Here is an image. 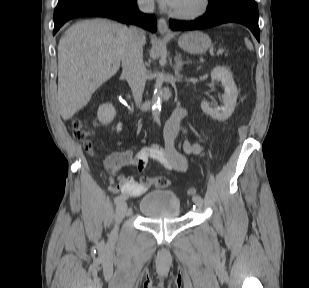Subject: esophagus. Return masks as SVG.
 <instances>
[{
    "label": "esophagus",
    "instance_id": "obj_1",
    "mask_svg": "<svg viewBox=\"0 0 309 288\" xmlns=\"http://www.w3.org/2000/svg\"><path fill=\"white\" fill-rule=\"evenodd\" d=\"M158 31L161 35H169L170 29L168 27L167 21L164 18L158 20Z\"/></svg>",
    "mask_w": 309,
    "mask_h": 288
}]
</instances>
